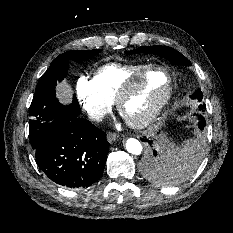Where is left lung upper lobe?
I'll use <instances>...</instances> for the list:
<instances>
[{
    "label": "left lung upper lobe",
    "mask_w": 233,
    "mask_h": 233,
    "mask_svg": "<svg viewBox=\"0 0 233 233\" xmlns=\"http://www.w3.org/2000/svg\"><path fill=\"white\" fill-rule=\"evenodd\" d=\"M126 54H137V53H151V54H157L162 55L171 62L177 64V65H184V66H190L191 62L184 57L181 53L176 51L173 48L166 47V46H142L132 51H126ZM192 99L197 100L200 102V105L198 106L199 110L201 112H204L206 109L205 104L201 103L203 98V93L200 89H197L191 96ZM202 115V114H200Z\"/></svg>",
    "instance_id": "1"
}]
</instances>
